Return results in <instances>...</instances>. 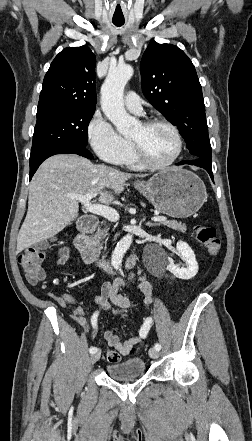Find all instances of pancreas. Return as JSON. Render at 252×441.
Segmentation results:
<instances>
[{
	"mask_svg": "<svg viewBox=\"0 0 252 441\" xmlns=\"http://www.w3.org/2000/svg\"><path fill=\"white\" fill-rule=\"evenodd\" d=\"M160 224H163V225H165V226H167L169 228H172L174 230H177V231H180V232H183V233L186 231L185 224H182V223L177 222V221H164V222H162ZM107 235H108V229L98 230L95 233V235L93 237V240L95 242V245L98 248H100V249L102 248V245L100 244V241L103 240Z\"/></svg>",
	"mask_w": 252,
	"mask_h": 441,
	"instance_id": "cf45deb5",
	"label": "pancreas"
}]
</instances>
